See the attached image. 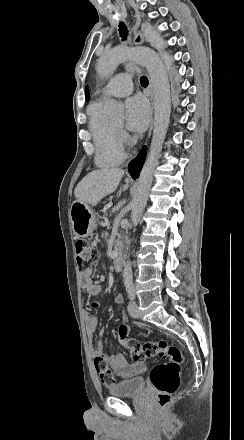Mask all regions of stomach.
I'll list each match as a JSON object with an SVG mask.
<instances>
[{"label":"stomach","mask_w":244,"mask_h":440,"mask_svg":"<svg viewBox=\"0 0 244 440\" xmlns=\"http://www.w3.org/2000/svg\"><path fill=\"white\" fill-rule=\"evenodd\" d=\"M69 218L74 236L78 238H88L97 228L96 214L85 202L75 200L71 204Z\"/></svg>","instance_id":"stomach-1"}]
</instances>
